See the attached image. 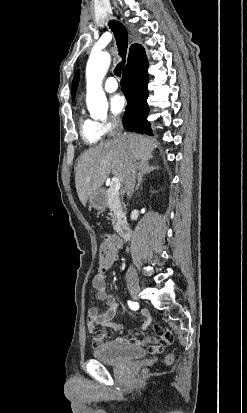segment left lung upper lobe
Wrapping results in <instances>:
<instances>
[{
    "instance_id": "5c2ea615",
    "label": "left lung upper lobe",
    "mask_w": 247,
    "mask_h": 413,
    "mask_svg": "<svg viewBox=\"0 0 247 413\" xmlns=\"http://www.w3.org/2000/svg\"><path fill=\"white\" fill-rule=\"evenodd\" d=\"M78 82H79V71L76 72L74 78H73V82H72V100H74V96L77 90V86H78Z\"/></svg>"
}]
</instances>
